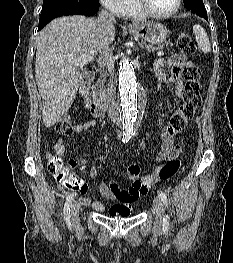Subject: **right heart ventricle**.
Segmentation results:
<instances>
[{
	"label": "right heart ventricle",
	"mask_w": 233,
	"mask_h": 263,
	"mask_svg": "<svg viewBox=\"0 0 233 263\" xmlns=\"http://www.w3.org/2000/svg\"><path fill=\"white\" fill-rule=\"evenodd\" d=\"M120 15L126 17L143 18L144 14L136 7L134 0H127L124 9Z\"/></svg>",
	"instance_id": "right-heart-ventricle-1"
}]
</instances>
